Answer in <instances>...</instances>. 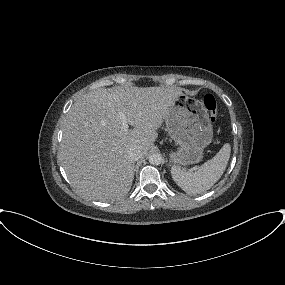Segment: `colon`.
I'll return each mask as SVG.
<instances>
[{"instance_id":"colon-1","label":"colon","mask_w":285,"mask_h":285,"mask_svg":"<svg viewBox=\"0 0 285 285\" xmlns=\"http://www.w3.org/2000/svg\"><path fill=\"white\" fill-rule=\"evenodd\" d=\"M203 104L206 110L209 112L211 122H215L219 115V104L215 97L211 94H207L203 98Z\"/></svg>"}]
</instances>
